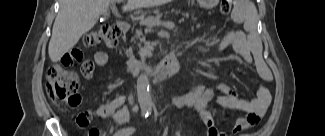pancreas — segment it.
Returning <instances> with one entry per match:
<instances>
[{
    "instance_id": "pancreas-1",
    "label": "pancreas",
    "mask_w": 325,
    "mask_h": 136,
    "mask_svg": "<svg viewBox=\"0 0 325 136\" xmlns=\"http://www.w3.org/2000/svg\"><path fill=\"white\" fill-rule=\"evenodd\" d=\"M166 14L169 19H177V22L179 24H186L187 19L192 18L191 12H182L180 6L176 5L173 9H167ZM142 25L138 24L137 27H134L132 29L133 37L134 38H140L143 39L145 37V34L142 32Z\"/></svg>"
}]
</instances>
